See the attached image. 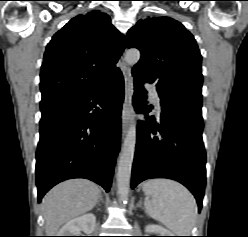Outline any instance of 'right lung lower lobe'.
<instances>
[{"label":"right lung lower lobe","instance_id":"98d812e1","mask_svg":"<svg viewBox=\"0 0 248 237\" xmlns=\"http://www.w3.org/2000/svg\"><path fill=\"white\" fill-rule=\"evenodd\" d=\"M123 100L120 72L85 92L41 102L39 202L54 185L71 178L90 179L109 191L120 148Z\"/></svg>","mask_w":248,"mask_h":237}]
</instances>
